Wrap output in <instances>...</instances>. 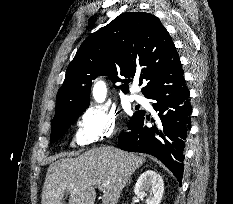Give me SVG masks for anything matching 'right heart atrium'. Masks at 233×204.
<instances>
[{
    "label": "right heart atrium",
    "instance_id": "obj_1",
    "mask_svg": "<svg viewBox=\"0 0 233 204\" xmlns=\"http://www.w3.org/2000/svg\"><path fill=\"white\" fill-rule=\"evenodd\" d=\"M117 129V113L106 105L86 108L78 121L75 141L80 146L95 144L112 137Z\"/></svg>",
    "mask_w": 233,
    "mask_h": 204
}]
</instances>
